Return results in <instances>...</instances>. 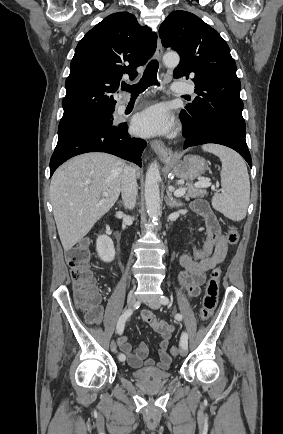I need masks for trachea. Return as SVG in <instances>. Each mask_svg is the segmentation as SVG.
Listing matches in <instances>:
<instances>
[{"mask_svg":"<svg viewBox=\"0 0 283 434\" xmlns=\"http://www.w3.org/2000/svg\"><path fill=\"white\" fill-rule=\"evenodd\" d=\"M159 63L157 60H151L143 73V77L137 84L134 85H122V90L127 91L132 97H137L140 93L144 92L148 87L152 85H158L157 72Z\"/></svg>","mask_w":283,"mask_h":434,"instance_id":"obj_1","label":"trachea"}]
</instances>
